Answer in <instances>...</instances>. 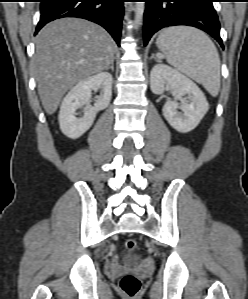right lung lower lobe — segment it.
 <instances>
[{
  "mask_svg": "<svg viewBox=\"0 0 248 299\" xmlns=\"http://www.w3.org/2000/svg\"><path fill=\"white\" fill-rule=\"evenodd\" d=\"M125 0H41V17L36 33L48 22L79 17L104 27L120 46Z\"/></svg>",
  "mask_w": 248,
  "mask_h": 299,
  "instance_id": "98d812e1",
  "label": "right lung lower lobe"
}]
</instances>
